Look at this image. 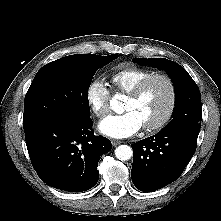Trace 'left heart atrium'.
Here are the masks:
<instances>
[{"label":"left heart atrium","mask_w":221,"mask_h":221,"mask_svg":"<svg viewBox=\"0 0 221 221\" xmlns=\"http://www.w3.org/2000/svg\"><path fill=\"white\" fill-rule=\"evenodd\" d=\"M99 131L111 138L120 139L134 135L142 128V122L133 111L109 115L99 123Z\"/></svg>","instance_id":"1"}]
</instances>
